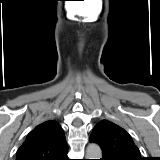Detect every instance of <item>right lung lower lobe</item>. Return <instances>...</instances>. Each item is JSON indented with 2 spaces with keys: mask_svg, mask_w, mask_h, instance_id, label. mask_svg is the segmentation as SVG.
<instances>
[{
  "mask_svg": "<svg viewBox=\"0 0 160 160\" xmlns=\"http://www.w3.org/2000/svg\"><path fill=\"white\" fill-rule=\"evenodd\" d=\"M62 160H69L68 157H67V154L65 155L64 158H62Z\"/></svg>",
  "mask_w": 160,
  "mask_h": 160,
  "instance_id": "right-lung-lower-lobe-1",
  "label": "right lung lower lobe"
}]
</instances>
